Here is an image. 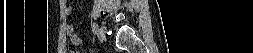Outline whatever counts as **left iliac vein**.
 Wrapping results in <instances>:
<instances>
[{"label":"left iliac vein","instance_id":"obj_1","mask_svg":"<svg viewBox=\"0 0 253 53\" xmlns=\"http://www.w3.org/2000/svg\"><path fill=\"white\" fill-rule=\"evenodd\" d=\"M98 33H99V38L104 40V36H105V28L104 27H101L99 30H98Z\"/></svg>","mask_w":253,"mask_h":53}]
</instances>
